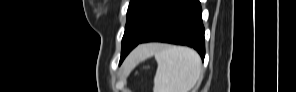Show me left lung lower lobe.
<instances>
[{"label": "left lung lower lobe", "instance_id": "left-lung-lower-lobe-1", "mask_svg": "<svg viewBox=\"0 0 296 92\" xmlns=\"http://www.w3.org/2000/svg\"><path fill=\"white\" fill-rule=\"evenodd\" d=\"M199 0H170L143 42H166L187 45L205 56L204 27ZM134 48V47H133ZM127 50L122 60L133 49Z\"/></svg>", "mask_w": 296, "mask_h": 92}]
</instances>
